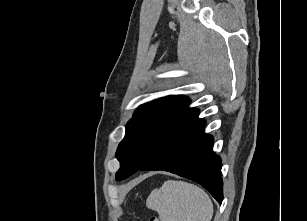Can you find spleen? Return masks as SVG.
<instances>
[{
	"mask_svg": "<svg viewBox=\"0 0 307 221\" xmlns=\"http://www.w3.org/2000/svg\"><path fill=\"white\" fill-rule=\"evenodd\" d=\"M146 206L163 221H211L213 204L206 192L184 181L168 180L154 189Z\"/></svg>",
	"mask_w": 307,
	"mask_h": 221,
	"instance_id": "spleen-1",
	"label": "spleen"
}]
</instances>
